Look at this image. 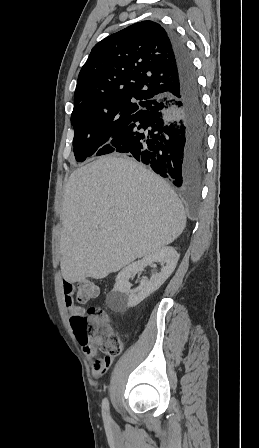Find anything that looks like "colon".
Masks as SVG:
<instances>
[{
    "mask_svg": "<svg viewBox=\"0 0 259 448\" xmlns=\"http://www.w3.org/2000/svg\"><path fill=\"white\" fill-rule=\"evenodd\" d=\"M101 293L97 282L86 279L75 287L76 299L85 304L96 299ZM76 337L81 345L95 344L106 356H117L122 351V341L113 331L106 311L101 307H90L82 316L71 319Z\"/></svg>",
    "mask_w": 259,
    "mask_h": 448,
    "instance_id": "obj_1",
    "label": "colon"
}]
</instances>
